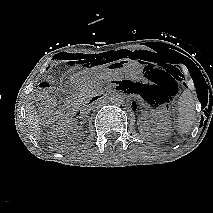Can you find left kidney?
I'll return each mask as SVG.
<instances>
[{"label":"left kidney","instance_id":"left-kidney-1","mask_svg":"<svg viewBox=\"0 0 213 213\" xmlns=\"http://www.w3.org/2000/svg\"><path fill=\"white\" fill-rule=\"evenodd\" d=\"M151 115L156 119V125L151 126L144 118H141L140 131L158 138L167 137L171 130V121L167 110L165 108H157L156 110H151Z\"/></svg>","mask_w":213,"mask_h":213}]
</instances>
